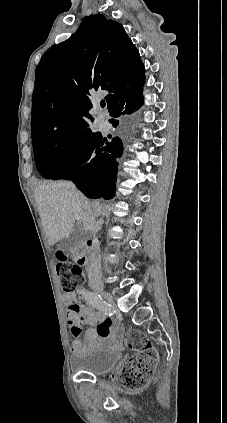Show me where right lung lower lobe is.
I'll use <instances>...</instances> for the list:
<instances>
[{
  "label": "right lung lower lobe",
  "instance_id": "98d812e1",
  "mask_svg": "<svg viewBox=\"0 0 227 423\" xmlns=\"http://www.w3.org/2000/svg\"><path fill=\"white\" fill-rule=\"evenodd\" d=\"M142 104L141 94L132 95L108 107V110L112 117H120L124 114H131ZM110 122L114 127L119 123L114 119H111ZM122 152V142L118 137H114L108 142L100 133H97L91 147L81 157L74 173L65 179L72 180L88 198L110 199L114 194L118 158Z\"/></svg>",
  "mask_w": 227,
  "mask_h": 423
}]
</instances>
